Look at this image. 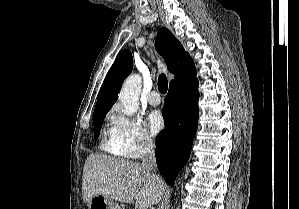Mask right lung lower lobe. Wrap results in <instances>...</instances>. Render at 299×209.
I'll return each instance as SVG.
<instances>
[{"label": "right lung lower lobe", "mask_w": 299, "mask_h": 209, "mask_svg": "<svg viewBox=\"0 0 299 209\" xmlns=\"http://www.w3.org/2000/svg\"><path fill=\"white\" fill-rule=\"evenodd\" d=\"M198 99L196 77L169 87L165 98L162 110L165 129L157 136L155 156L161 175L172 186L190 156L199 117Z\"/></svg>", "instance_id": "obj_1"}]
</instances>
